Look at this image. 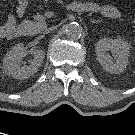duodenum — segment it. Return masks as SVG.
Wrapping results in <instances>:
<instances>
[{
	"instance_id": "duodenum-1",
	"label": "duodenum",
	"mask_w": 135,
	"mask_h": 135,
	"mask_svg": "<svg viewBox=\"0 0 135 135\" xmlns=\"http://www.w3.org/2000/svg\"><path fill=\"white\" fill-rule=\"evenodd\" d=\"M24 34H25V30H24V29H21V28L17 29V34H16V36L24 35ZM16 36H14V37H16Z\"/></svg>"
}]
</instances>
